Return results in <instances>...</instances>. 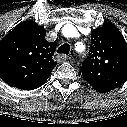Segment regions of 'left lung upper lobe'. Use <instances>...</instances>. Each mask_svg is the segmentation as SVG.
<instances>
[{"mask_svg": "<svg viewBox=\"0 0 127 127\" xmlns=\"http://www.w3.org/2000/svg\"><path fill=\"white\" fill-rule=\"evenodd\" d=\"M81 70L90 85L115 89L127 81V44L114 24L105 22L92 31L89 55Z\"/></svg>", "mask_w": 127, "mask_h": 127, "instance_id": "obj_1", "label": "left lung upper lobe"}]
</instances>
